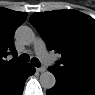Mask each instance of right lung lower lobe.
I'll return each instance as SVG.
<instances>
[{"mask_svg":"<svg viewBox=\"0 0 95 95\" xmlns=\"http://www.w3.org/2000/svg\"><path fill=\"white\" fill-rule=\"evenodd\" d=\"M34 73H35V68L31 64H28L23 77L11 89L0 95H21L27 77H29Z\"/></svg>","mask_w":95,"mask_h":95,"instance_id":"obj_1","label":"right lung lower lobe"}]
</instances>
